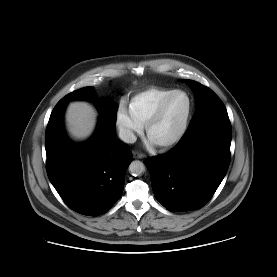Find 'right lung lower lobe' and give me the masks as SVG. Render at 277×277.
Instances as JSON below:
<instances>
[{"instance_id": "right-lung-lower-lobe-1", "label": "right lung lower lobe", "mask_w": 277, "mask_h": 277, "mask_svg": "<svg viewBox=\"0 0 277 277\" xmlns=\"http://www.w3.org/2000/svg\"><path fill=\"white\" fill-rule=\"evenodd\" d=\"M65 107L56 105L47 125V174L67 206L83 215L99 216L120 198L132 154L117 139L115 125L101 118L89 140L71 142L63 125Z\"/></svg>"}]
</instances>
